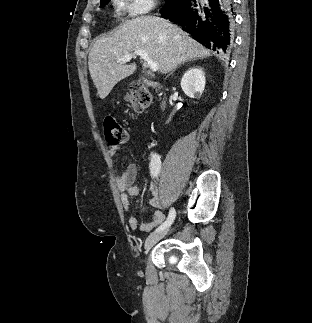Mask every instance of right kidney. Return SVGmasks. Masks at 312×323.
<instances>
[{"label":"right kidney","mask_w":312,"mask_h":323,"mask_svg":"<svg viewBox=\"0 0 312 323\" xmlns=\"http://www.w3.org/2000/svg\"><path fill=\"white\" fill-rule=\"evenodd\" d=\"M205 76L202 68L195 66L185 72L181 80V88L189 98H200L205 88Z\"/></svg>","instance_id":"ca27d5eb"}]
</instances>
